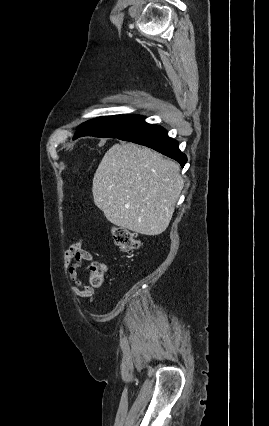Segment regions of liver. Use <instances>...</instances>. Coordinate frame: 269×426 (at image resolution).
<instances>
[{"label": "liver", "instance_id": "6515ba94", "mask_svg": "<svg viewBox=\"0 0 269 426\" xmlns=\"http://www.w3.org/2000/svg\"><path fill=\"white\" fill-rule=\"evenodd\" d=\"M183 186L177 163L147 147L121 143L102 158L92 193L109 222L156 236L168 227Z\"/></svg>", "mask_w": 269, "mask_h": 426}]
</instances>
